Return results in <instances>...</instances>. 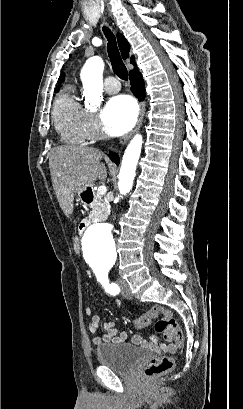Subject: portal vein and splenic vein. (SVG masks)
<instances>
[{
  "label": "portal vein and splenic vein",
  "instance_id": "18ae733b",
  "mask_svg": "<svg viewBox=\"0 0 243 409\" xmlns=\"http://www.w3.org/2000/svg\"><path fill=\"white\" fill-rule=\"evenodd\" d=\"M107 192V188L105 186H99L97 189V193L99 195H104Z\"/></svg>",
  "mask_w": 243,
  "mask_h": 409
}]
</instances>
